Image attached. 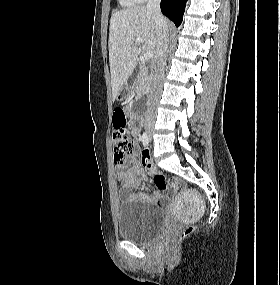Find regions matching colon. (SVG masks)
Wrapping results in <instances>:
<instances>
[{"label":"colon","mask_w":280,"mask_h":285,"mask_svg":"<svg viewBox=\"0 0 280 285\" xmlns=\"http://www.w3.org/2000/svg\"><path fill=\"white\" fill-rule=\"evenodd\" d=\"M127 120L125 112L122 108L115 109L113 113V140H114V152L116 163H123L128 154H130L135 149L134 141L126 133L125 126ZM149 159V153L144 151L142 153V160ZM155 184L161 189H172L178 191L182 189L183 182L177 178H169L163 174L156 173L154 176ZM194 231L192 226L186 227L180 235L175 236L171 239L172 243H175L181 239H184L191 235Z\"/></svg>","instance_id":"colon-1"}]
</instances>
